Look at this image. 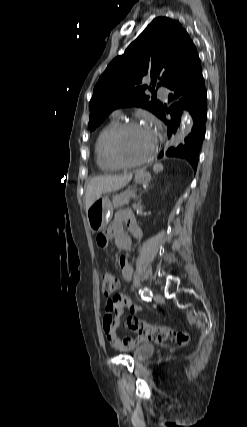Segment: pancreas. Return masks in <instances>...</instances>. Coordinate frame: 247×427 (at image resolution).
Segmentation results:
<instances>
[{
    "label": "pancreas",
    "mask_w": 247,
    "mask_h": 427,
    "mask_svg": "<svg viewBox=\"0 0 247 427\" xmlns=\"http://www.w3.org/2000/svg\"><path fill=\"white\" fill-rule=\"evenodd\" d=\"M134 191L133 190H127L117 196L113 197L112 205L114 208H119L124 205H127L132 198Z\"/></svg>",
    "instance_id": "pancreas-1"
}]
</instances>
